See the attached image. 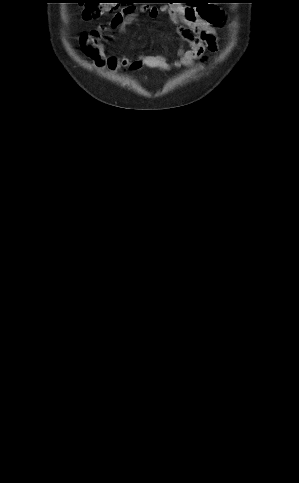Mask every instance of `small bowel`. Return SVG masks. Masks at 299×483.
<instances>
[{
    "label": "small bowel",
    "instance_id": "obj_1",
    "mask_svg": "<svg viewBox=\"0 0 299 483\" xmlns=\"http://www.w3.org/2000/svg\"><path fill=\"white\" fill-rule=\"evenodd\" d=\"M204 8L209 16L208 19L201 18L198 7L193 5L161 7L149 4L139 7L129 5L116 13L105 28L83 34L80 38V44L84 54L96 66L111 71L125 68L137 70L143 66L161 70H173L182 66L189 67L197 61L205 60L207 52L215 53L218 50V37L214 26L224 21V14L212 4H205ZM160 12L168 14L171 21L177 26L178 34L189 45L187 49L184 47L178 49L176 59L169 60L162 55H142L135 59H129L107 53L105 33L110 31L124 33L139 14L144 13L155 18Z\"/></svg>",
    "mask_w": 299,
    "mask_h": 483
}]
</instances>
